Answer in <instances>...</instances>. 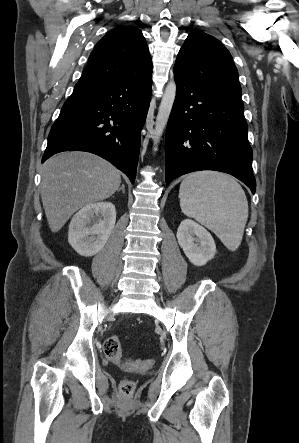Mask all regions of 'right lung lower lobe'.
<instances>
[{"label": "right lung lower lobe", "instance_id": "obj_1", "mask_svg": "<svg viewBox=\"0 0 299 443\" xmlns=\"http://www.w3.org/2000/svg\"><path fill=\"white\" fill-rule=\"evenodd\" d=\"M151 76L77 83L50 130L42 162L62 151L91 152L113 163L134 183Z\"/></svg>", "mask_w": 299, "mask_h": 443}]
</instances>
